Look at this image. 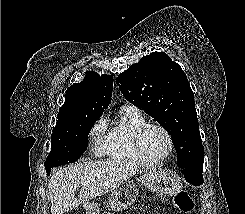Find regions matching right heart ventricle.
I'll return each instance as SVG.
<instances>
[{
  "mask_svg": "<svg viewBox=\"0 0 245 214\" xmlns=\"http://www.w3.org/2000/svg\"><path fill=\"white\" fill-rule=\"evenodd\" d=\"M145 123L147 120L137 107L123 105L107 129L103 143L106 155L115 161L142 164L135 152L133 137L135 131Z\"/></svg>",
  "mask_w": 245,
  "mask_h": 214,
  "instance_id": "obj_1",
  "label": "right heart ventricle"
}]
</instances>
